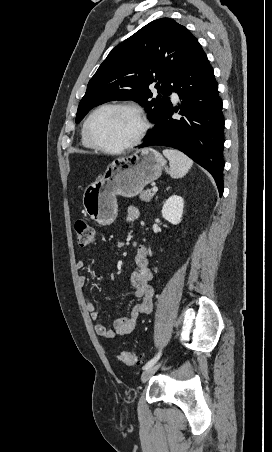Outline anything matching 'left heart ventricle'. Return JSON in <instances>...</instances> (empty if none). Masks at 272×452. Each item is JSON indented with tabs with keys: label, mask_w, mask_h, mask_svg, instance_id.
<instances>
[{
	"label": "left heart ventricle",
	"mask_w": 272,
	"mask_h": 452,
	"mask_svg": "<svg viewBox=\"0 0 272 452\" xmlns=\"http://www.w3.org/2000/svg\"><path fill=\"white\" fill-rule=\"evenodd\" d=\"M139 129V123L129 112L107 109L100 112L91 123V132L101 143L119 147L130 142Z\"/></svg>",
	"instance_id": "1"
}]
</instances>
